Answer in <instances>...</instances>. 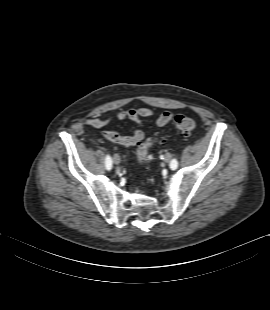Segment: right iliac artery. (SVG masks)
Segmentation results:
<instances>
[{
	"instance_id": "right-iliac-artery-1",
	"label": "right iliac artery",
	"mask_w": 270,
	"mask_h": 310,
	"mask_svg": "<svg viewBox=\"0 0 270 310\" xmlns=\"http://www.w3.org/2000/svg\"><path fill=\"white\" fill-rule=\"evenodd\" d=\"M105 166H106L107 170H111V168H112V159H111L110 155H106Z\"/></svg>"
}]
</instances>
